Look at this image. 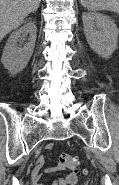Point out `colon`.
Masks as SVG:
<instances>
[{
  "label": "colon",
  "mask_w": 119,
  "mask_h": 185,
  "mask_svg": "<svg viewBox=\"0 0 119 185\" xmlns=\"http://www.w3.org/2000/svg\"><path fill=\"white\" fill-rule=\"evenodd\" d=\"M59 163L63 167H67V168L73 170L74 172L79 171V163H78L77 159L69 154H61L59 156Z\"/></svg>",
  "instance_id": "colon-1"
}]
</instances>
